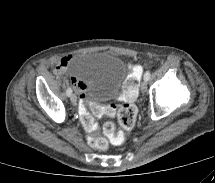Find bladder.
<instances>
[{
  "mask_svg": "<svg viewBox=\"0 0 215 183\" xmlns=\"http://www.w3.org/2000/svg\"><path fill=\"white\" fill-rule=\"evenodd\" d=\"M70 72L86 84L87 100L105 101L124 93V80L128 74L125 61L103 51L82 52L73 56Z\"/></svg>",
  "mask_w": 215,
  "mask_h": 183,
  "instance_id": "1",
  "label": "bladder"
}]
</instances>
